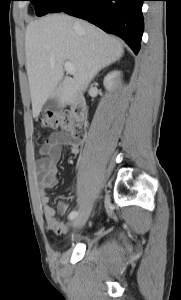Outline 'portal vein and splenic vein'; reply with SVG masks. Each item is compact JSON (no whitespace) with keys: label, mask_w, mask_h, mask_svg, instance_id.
Here are the masks:
<instances>
[{"label":"portal vein and splenic vein","mask_w":181,"mask_h":300,"mask_svg":"<svg viewBox=\"0 0 181 300\" xmlns=\"http://www.w3.org/2000/svg\"><path fill=\"white\" fill-rule=\"evenodd\" d=\"M64 69L66 70L67 73H69L71 75H74L76 72L75 67L71 62H65Z\"/></svg>","instance_id":"portal-vein-and-splenic-vein-1"}]
</instances>
